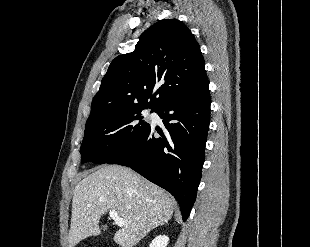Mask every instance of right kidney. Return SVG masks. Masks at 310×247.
<instances>
[{"mask_svg":"<svg viewBox=\"0 0 310 247\" xmlns=\"http://www.w3.org/2000/svg\"><path fill=\"white\" fill-rule=\"evenodd\" d=\"M169 238L166 235L157 236L152 240L150 247H167Z\"/></svg>","mask_w":310,"mask_h":247,"instance_id":"ca27d5eb","label":"right kidney"}]
</instances>
